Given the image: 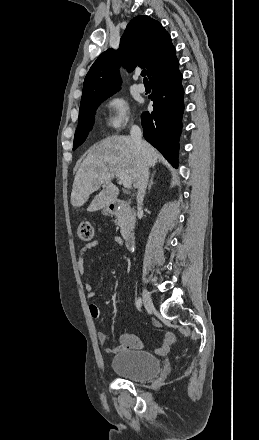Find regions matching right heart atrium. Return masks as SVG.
Wrapping results in <instances>:
<instances>
[{
	"mask_svg": "<svg viewBox=\"0 0 259 440\" xmlns=\"http://www.w3.org/2000/svg\"><path fill=\"white\" fill-rule=\"evenodd\" d=\"M107 109L106 126L109 129L119 131L130 123V106L122 96L110 97L107 101Z\"/></svg>",
	"mask_w": 259,
	"mask_h": 440,
	"instance_id": "1",
	"label": "right heart atrium"
}]
</instances>
